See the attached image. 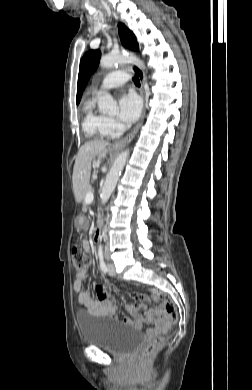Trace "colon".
Segmentation results:
<instances>
[{
	"instance_id": "obj_1",
	"label": "colon",
	"mask_w": 252,
	"mask_h": 390,
	"mask_svg": "<svg viewBox=\"0 0 252 390\" xmlns=\"http://www.w3.org/2000/svg\"><path fill=\"white\" fill-rule=\"evenodd\" d=\"M71 258H72L73 268L77 273L85 270L88 264L90 263V257L79 246H74L72 248ZM131 295L137 299L145 298V296L142 294L133 293ZM152 296L155 299L161 300L163 302L164 310L168 316L169 322L172 324L176 323L178 319V311L173 300L168 295L158 290H152ZM163 343H164V337L158 336L151 342L144 345L140 351V355H139L140 360L141 361L149 360L150 357L162 347Z\"/></svg>"
}]
</instances>
